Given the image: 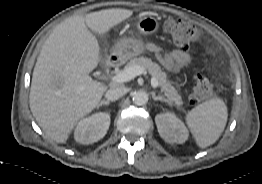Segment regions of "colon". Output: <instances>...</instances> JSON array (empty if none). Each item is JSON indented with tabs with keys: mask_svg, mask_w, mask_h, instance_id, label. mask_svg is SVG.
<instances>
[{
	"mask_svg": "<svg viewBox=\"0 0 262 184\" xmlns=\"http://www.w3.org/2000/svg\"><path fill=\"white\" fill-rule=\"evenodd\" d=\"M164 28L172 41L184 48L192 47L200 36L199 30L194 24L182 19H168L165 22ZM212 92L213 87L207 77L203 75L194 77L191 93V102L193 104L208 99L212 95Z\"/></svg>",
	"mask_w": 262,
	"mask_h": 184,
	"instance_id": "1",
	"label": "colon"
}]
</instances>
